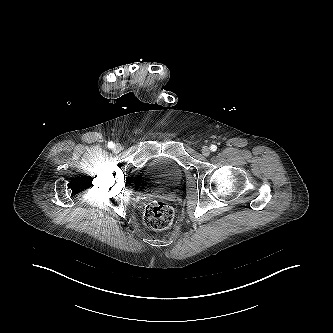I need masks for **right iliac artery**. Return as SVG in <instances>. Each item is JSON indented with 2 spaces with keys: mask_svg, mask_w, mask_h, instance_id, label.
<instances>
[{
  "mask_svg": "<svg viewBox=\"0 0 333 333\" xmlns=\"http://www.w3.org/2000/svg\"><path fill=\"white\" fill-rule=\"evenodd\" d=\"M109 148H114V143L113 142H109L108 145H107Z\"/></svg>",
  "mask_w": 333,
  "mask_h": 333,
  "instance_id": "obj_1",
  "label": "right iliac artery"
}]
</instances>
